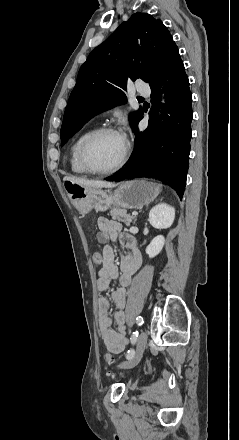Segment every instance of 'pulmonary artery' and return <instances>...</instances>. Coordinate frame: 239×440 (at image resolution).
I'll list each match as a JSON object with an SVG mask.
<instances>
[{
    "label": "pulmonary artery",
    "mask_w": 239,
    "mask_h": 440,
    "mask_svg": "<svg viewBox=\"0 0 239 440\" xmlns=\"http://www.w3.org/2000/svg\"><path fill=\"white\" fill-rule=\"evenodd\" d=\"M137 90H138V91H141L139 87H137Z\"/></svg>",
    "instance_id": "e3ab8cb5"
}]
</instances>
